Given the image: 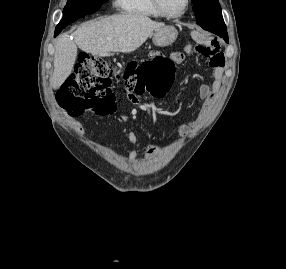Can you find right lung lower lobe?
Instances as JSON below:
<instances>
[{
    "label": "right lung lower lobe",
    "mask_w": 286,
    "mask_h": 269,
    "mask_svg": "<svg viewBox=\"0 0 286 269\" xmlns=\"http://www.w3.org/2000/svg\"><path fill=\"white\" fill-rule=\"evenodd\" d=\"M60 32L59 31H55L54 36L56 37Z\"/></svg>",
    "instance_id": "obj_1"
}]
</instances>
